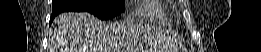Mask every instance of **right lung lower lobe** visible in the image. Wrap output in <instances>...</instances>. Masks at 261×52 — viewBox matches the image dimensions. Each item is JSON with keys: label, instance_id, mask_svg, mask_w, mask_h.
Instances as JSON below:
<instances>
[{"label": "right lung lower lobe", "instance_id": "1", "mask_svg": "<svg viewBox=\"0 0 261 52\" xmlns=\"http://www.w3.org/2000/svg\"><path fill=\"white\" fill-rule=\"evenodd\" d=\"M58 14H59V13H54V12L52 13L49 24H51V22L53 21V19L55 18V16H57Z\"/></svg>", "mask_w": 261, "mask_h": 52}]
</instances>
